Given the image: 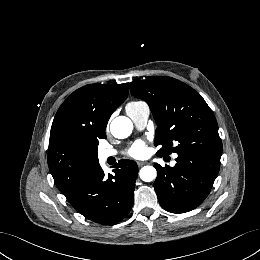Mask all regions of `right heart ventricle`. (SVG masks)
I'll use <instances>...</instances> for the list:
<instances>
[{
	"mask_svg": "<svg viewBox=\"0 0 260 260\" xmlns=\"http://www.w3.org/2000/svg\"><path fill=\"white\" fill-rule=\"evenodd\" d=\"M140 104H143V102H141V101H136V102H131V103H129V105H140Z\"/></svg>",
	"mask_w": 260,
	"mask_h": 260,
	"instance_id": "1",
	"label": "right heart ventricle"
}]
</instances>
